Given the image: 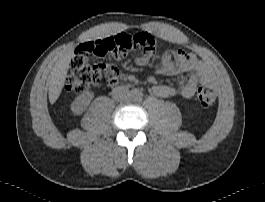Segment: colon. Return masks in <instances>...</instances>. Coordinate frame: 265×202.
Listing matches in <instances>:
<instances>
[{"label": "colon", "mask_w": 265, "mask_h": 202, "mask_svg": "<svg viewBox=\"0 0 265 202\" xmlns=\"http://www.w3.org/2000/svg\"><path fill=\"white\" fill-rule=\"evenodd\" d=\"M97 49L102 53L121 55L130 50L137 51L145 57L154 55L157 45L148 34L129 35L117 33L108 35L96 41ZM120 69L111 61H101L85 56H75L71 59L65 78V88L71 93H79L90 86L119 78ZM197 98L203 108H211L217 100V90L213 87H201Z\"/></svg>", "instance_id": "colon-1"}]
</instances>
